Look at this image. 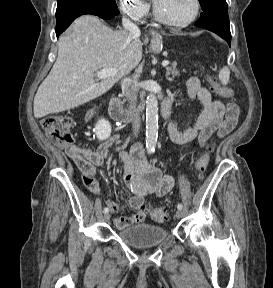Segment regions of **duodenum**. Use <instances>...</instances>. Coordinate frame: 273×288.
<instances>
[{"mask_svg":"<svg viewBox=\"0 0 273 288\" xmlns=\"http://www.w3.org/2000/svg\"><path fill=\"white\" fill-rule=\"evenodd\" d=\"M156 99L162 103V115L164 118H168L170 114V108L172 101L170 98H164L161 94L156 95ZM147 104L143 102L136 111L124 110L120 100L113 96L109 102V116L117 122L129 123L137 119V117L144 112Z\"/></svg>","mask_w":273,"mask_h":288,"instance_id":"1","label":"duodenum"}]
</instances>
